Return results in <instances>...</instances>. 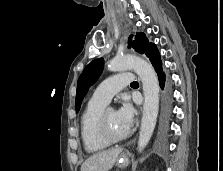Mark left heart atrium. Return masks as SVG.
Listing matches in <instances>:
<instances>
[{
    "mask_svg": "<svg viewBox=\"0 0 223 171\" xmlns=\"http://www.w3.org/2000/svg\"><path fill=\"white\" fill-rule=\"evenodd\" d=\"M117 117L124 128L129 131L134 124L135 111L132 105L124 102L122 106L116 111Z\"/></svg>",
    "mask_w": 223,
    "mask_h": 171,
    "instance_id": "left-heart-atrium-1",
    "label": "left heart atrium"
}]
</instances>
